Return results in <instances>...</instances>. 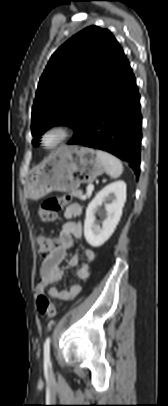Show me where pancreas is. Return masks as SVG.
<instances>
[{"label": "pancreas", "instance_id": "cf45deb5", "mask_svg": "<svg viewBox=\"0 0 168 406\" xmlns=\"http://www.w3.org/2000/svg\"><path fill=\"white\" fill-rule=\"evenodd\" d=\"M71 196L77 197L79 199L85 200L84 196L82 195V192L80 190H74L71 193Z\"/></svg>", "mask_w": 168, "mask_h": 406}]
</instances>
